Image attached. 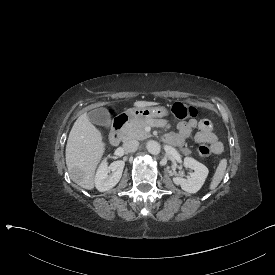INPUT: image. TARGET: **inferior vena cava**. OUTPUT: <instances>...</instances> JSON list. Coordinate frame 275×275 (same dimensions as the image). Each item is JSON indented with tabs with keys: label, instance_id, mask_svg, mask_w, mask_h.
<instances>
[{
	"label": "inferior vena cava",
	"instance_id": "inferior-vena-cava-1",
	"mask_svg": "<svg viewBox=\"0 0 275 275\" xmlns=\"http://www.w3.org/2000/svg\"><path fill=\"white\" fill-rule=\"evenodd\" d=\"M139 142L137 140H128L123 143V149L128 152H135L138 149Z\"/></svg>",
	"mask_w": 275,
	"mask_h": 275
}]
</instances>
